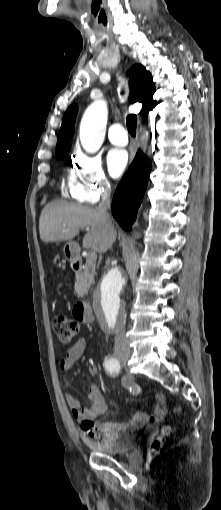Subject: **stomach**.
<instances>
[{
    "mask_svg": "<svg viewBox=\"0 0 221 510\" xmlns=\"http://www.w3.org/2000/svg\"><path fill=\"white\" fill-rule=\"evenodd\" d=\"M75 248V244L72 242H68L64 246V254L66 256L72 255L73 249Z\"/></svg>",
    "mask_w": 221,
    "mask_h": 510,
    "instance_id": "stomach-1",
    "label": "stomach"
}]
</instances>
